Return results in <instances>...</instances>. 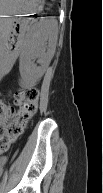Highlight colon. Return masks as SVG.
Wrapping results in <instances>:
<instances>
[{
	"instance_id": "1",
	"label": "colon",
	"mask_w": 103,
	"mask_h": 193,
	"mask_svg": "<svg viewBox=\"0 0 103 193\" xmlns=\"http://www.w3.org/2000/svg\"><path fill=\"white\" fill-rule=\"evenodd\" d=\"M38 98L39 92L36 88H26L14 94L17 111L7 103L1 104L3 132L0 137V150L2 152L8 150L21 135L27 122L37 113Z\"/></svg>"
}]
</instances>
